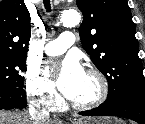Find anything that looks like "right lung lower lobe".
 <instances>
[{"label":"right lung lower lobe","mask_w":145,"mask_h":124,"mask_svg":"<svg viewBox=\"0 0 145 124\" xmlns=\"http://www.w3.org/2000/svg\"><path fill=\"white\" fill-rule=\"evenodd\" d=\"M26 98L23 88L18 87H0V110L25 108Z\"/></svg>","instance_id":"right-lung-lower-lobe-1"}]
</instances>
